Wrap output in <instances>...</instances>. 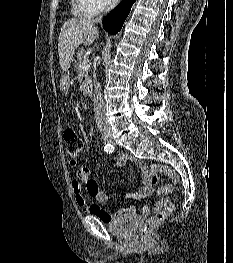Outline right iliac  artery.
<instances>
[{
    "instance_id": "1",
    "label": "right iliac artery",
    "mask_w": 233,
    "mask_h": 263,
    "mask_svg": "<svg viewBox=\"0 0 233 263\" xmlns=\"http://www.w3.org/2000/svg\"><path fill=\"white\" fill-rule=\"evenodd\" d=\"M104 150L107 152V153H113L114 152V146L107 143L104 145Z\"/></svg>"
}]
</instances>
